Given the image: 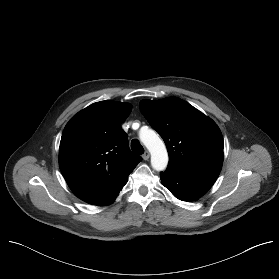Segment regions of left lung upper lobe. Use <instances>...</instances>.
I'll use <instances>...</instances> for the list:
<instances>
[{
	"mask_svg": "<svg viewBox=\"0 0 279 279\" xmlns=\"http://www.w3.org/2000/svg\"><path fill=\"white\" fill-rule=\"evenodd\" d=\"M140 110L166 144L168 168L196 176L218 177L224 143L213 120L176 97L142 100Z\"/></svg>",
	"mask_w": 279,
	"mask_h": 279,
	"instance_id": "left-lung-upper-lobe-1",
	"label": "left lung upper lobe"
}]
</instances>
